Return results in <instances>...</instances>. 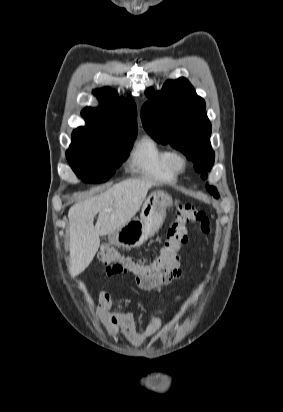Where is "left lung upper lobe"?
<instances>
[{"mask_svg": "<svg viewBox=\"0 0 283 412\" xmlns=\"http://www.w3.org/2000/svg\"><path fill=\"white\" fill-rule=\"evenodd\" d=\"M150 101L141 110L145 130L154 140L170 143L193 161L195 170L207 177L214 163L215 154L211 148V124L205 112V102L197 96L192 85L185 79L167 81L162 91L146 90ZM207 190L218 198L215 187Z\"/></svg>", "mask_w": 283, "mask_h": 412, "instance_id": "5c2ea615", "label": "left lung upper lobe"}]
</instances>
